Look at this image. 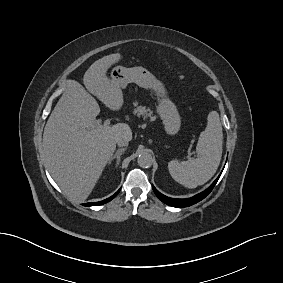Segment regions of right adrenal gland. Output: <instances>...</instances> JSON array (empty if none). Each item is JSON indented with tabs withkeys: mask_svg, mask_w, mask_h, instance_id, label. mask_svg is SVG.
<instances>
[{
	"mask_svg": "<svg viewBox=\"0 0 283 283\" xmlns=\"http://www.w3.org/2000/svg\"><path fill=\"white\" fill-rule=\"evenodd\" d=\"M126 150V148H121V149H118L115 154L113 156H111V158L109 159V162L108 164H111V162L113 161V159H117L116 160V167L119 165V162H120V158H121V155L123 154V152Z\"/></svg>",
	"mask_w": 283,
	"mask_h": 283,
	"instance_id": "right-adrenal-gland-1",
	"label": "right adrenal gland"
}]
</instances>
